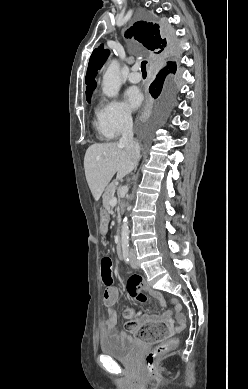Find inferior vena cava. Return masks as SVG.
<instances>
[{"mask_svg": "<svg viewBox=\"0 0 248 389\" xmlns=\"http://www.w3.org/2000/svg\"><path fill=\"white\" fill-rule=\"evenodd\" d=\"M119 145L124 147L133 159L134 167L137 166L140 158V147L133 139V122L131 117H127L124 120L122 137L119 141ZM133 249H130V253Z\"/></svg>", "mask_w": 248, "mask_h": 389, "instance_id": "602c4592", "label": "inferior vena cava"}]
</instances>
